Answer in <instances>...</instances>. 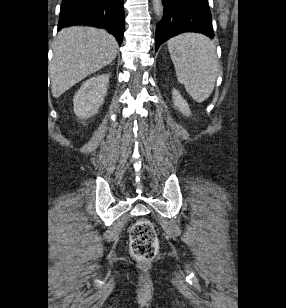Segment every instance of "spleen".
<instances>
[{"mask_svg":"<svg viewBox=\"0 0 286 308\" xmlns=\"http://www.w3.org/2000/svg\"><path fill=\"white\" fill-rule=\"evenodd\" d=\"M179 83L198 103L213 92L218 75L216 46L205 35L183 33L167 42Z\"/></svg>","mask_w":286,"mask_h":308,"instance_id":"1","label":"spleen"}]
</instances>
